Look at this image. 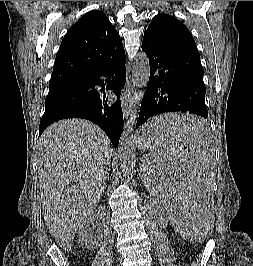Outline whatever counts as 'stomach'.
Wrapping results in <instances>:
<instances>
[{
	"label": "stomach",
	"instance_id": "stomach-1",
	"mask_svg": "<svg viewBox=\"0 0 253 266\" xmlns=\"http://www.w3.org/2000/svg\"><path fill=\"white\" fill-rule=\"evenodd\" d=\"M142 138H149L147 136V132H144V126L139 130L138 134H137V140H138V144H139V147L142 149V146H141V139Z\"/></svg>",
	"mask_w": 253,
	"mask_h": 266
}]
</instances>
